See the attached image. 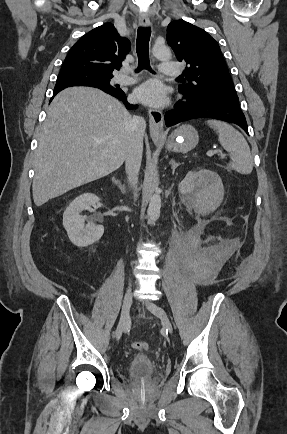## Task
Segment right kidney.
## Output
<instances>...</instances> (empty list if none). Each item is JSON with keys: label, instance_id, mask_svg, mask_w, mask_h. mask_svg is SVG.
I'll return each instance as SVG.
<instances>
[{"label": "right kidney", "instance_id": "obj_1", "mask_svg": "<svg viewBox=\"0 0 287 434\" xmlns=\"http://www.w3.org/2000/svg\"><path fill=\"white\" fill-rule=\"evenodd\" d=\"M99 201L100 198L95 194L85 193L75 198L64 211L63 226L74 245L86 247L102 237L104 227L92 222L85 225V218L80 214L83 210L91 209Z\"/></svg>", "mask_w": 287, "mask_h": 434}]
</instances>
